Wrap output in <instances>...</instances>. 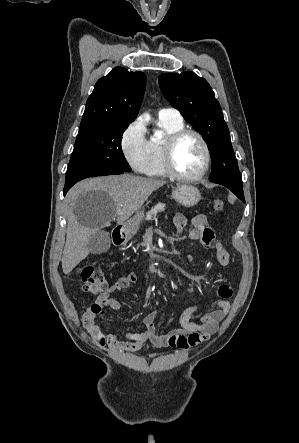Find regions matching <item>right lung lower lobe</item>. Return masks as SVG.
<instances>
[{
	"label": "right lung lower lobe",
	"instance_id": "98d812e1",
	"mask_svg": "<svg viewBox=\"0 0 299 443\" xmlns=\"http://www.w3.org/2000/svg\"><path fill=\"white\" fill-rule=\"evenodd\" d=\"M125 171H111V172H107V173H104V174H102V175H118V174H122V173H124ZM73 185H68V186H65L64 187V195H66V193H67V191L72 187Z\"/></svg>",
	"mask_w": 299,
	"mask_h": 443
}]
</instances>
